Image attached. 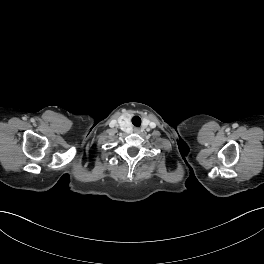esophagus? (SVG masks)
<instances>
[{"instance_id":"1","label":"esophagus","mask_w":264,"mask_h":264,"mask_svg":"<svg viewBox=\"0 0 264 264\" xmlns=\"http://www.w3.org/2000/svg\"><path fill=\"white\" fill-rule=\"evenodd\" d=\"M134 132L138 133V132H139V129H137V128H136V129H134Z\"/></svg>"}]
</instances>
